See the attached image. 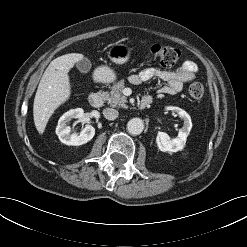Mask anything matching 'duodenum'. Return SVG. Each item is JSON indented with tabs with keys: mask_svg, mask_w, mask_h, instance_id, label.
Segmentation results:
<instances>
[{
	"mask_svg": "<svg viewBox=\"0 0 247 247\" xmlns=\"http://www.w3.org/2000/svg\"><path fill=\"white\" fill-rule=\"evenodd\" d=\"M105 101V96L103 93L100 92H95L92 93L89 98L88 102L91 106L93 107H100L103 105ZM152 98L150 96H145L139 103V108L140 109H145L149 107L152 104Z\"/></svg>",
	"mask_w": 247,
	"mask_h": 247,
	"instance_id": "duodenum-1",
	"label": "duodenum"
}]
</instances>
